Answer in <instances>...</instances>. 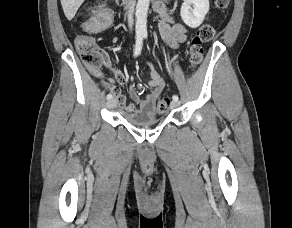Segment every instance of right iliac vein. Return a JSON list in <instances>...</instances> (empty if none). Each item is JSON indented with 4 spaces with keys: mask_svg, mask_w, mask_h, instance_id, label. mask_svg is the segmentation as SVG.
<instances>
[{
    "mask_svg": "<svg viewBox=\"0 0 292 228\" xmlns=\"http://www.w3.org/2000/svg\"><path fill=\"white\" fill-rule=\"evenodd\" d=\"M116 105V100L115 99H110L108 102H107V107L112 109L114 108Z\"/></svg>",
    "mask_w": 292,
    "mask_h": 228,
    "instance_id": "63e3f726",
    "label": "right iliac vein"
}]
</instances>
